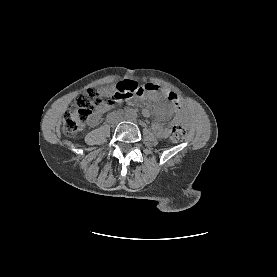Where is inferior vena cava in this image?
I'll return each instance as SVG.
<instances>
[{"label": "inferior vena cava", "instance_id": "obj_1", "mask_svg": "<svg viewBox=\"0 0 277 277\" xmlns=\"http://www.w3.org/2000/svg\"><path fill=\"white\" fill-rule=\"evenodd\" d=\"M114 114L110 115L109 116V120H112L114 122H119L120 121V117H115V118H112Z\"/></svg>", "mask_w": 277, "mask_h": 277}]
</instances>
